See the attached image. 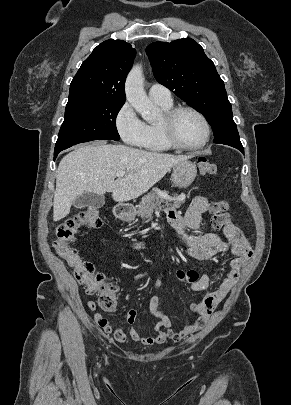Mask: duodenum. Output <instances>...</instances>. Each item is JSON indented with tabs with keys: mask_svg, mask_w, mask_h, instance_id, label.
Wrapping results in <instances>:
<instances>
[{
	"mask_svg": "<svg viewBox=\"0 0 291 405\" xmlns=\"http://www.w3.org/2000/svg\"><path fill=\"white\" fill-rule=\"evenodd\" d=\"M132 212H133V208L129 204H120L116 209L117 215L122 219L130 216ZM133 246L136 249H141L143 247V245L141 243H135V244H133Z\"/></svg>",
	"mask_w": 291,
	"mask_h": 405,
	"instance_id": "obj_1",
	"label": "duodenum"
}]
</instances>
